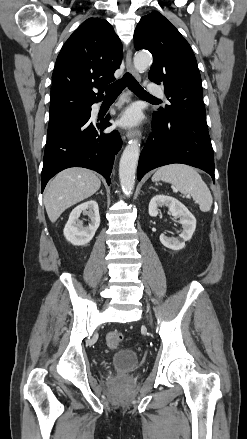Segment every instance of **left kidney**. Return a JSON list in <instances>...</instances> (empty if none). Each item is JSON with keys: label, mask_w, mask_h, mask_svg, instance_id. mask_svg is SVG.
Returning a JSON list of instances; mask_svg holds the SVG:
<instances>
[{"label": "left kidney", "mask_w": 247, "mask_h": 439, "mask_svg": "<svg viewBox=\"0 0 247 439\" xmlns=\"http://www.w3.org/2000/svg\"><path fill=\"white\" fill-rule=\"evenodd\" d=\"M166 206L169 212L175 216L179 217L178 221L182 224L183 230L179 235V238H168L164 234L160 235V242L167 248L172 250H181L185 247V242L192 238V235L196 228V219L193 214L177 199L166 196V195H156L149 203V215L151 217H156L159 213V207Z\"/></svg>", "instance_id": "5707ae66"}]
</instances>
